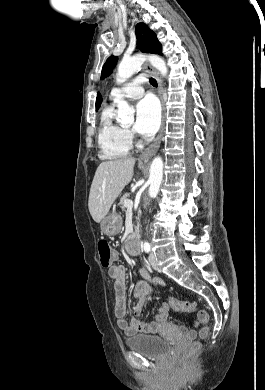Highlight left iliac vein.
<instances>
[{"label":"left iliac vein","mask_w":265,"mask_h":390,"mask_svg":"<svg viewBox=\"0 0 265 390\" xmlns=\"http://www.w3.org/2000/svg\"><path fill=\"white\" fill-rule=\"evenodd\" d=\"M149 263L153 269L158 268L157 263H156V259H155V255L153 253H150V255H149Z\"/></svg>","instance_id":"obj_1"}]
</instances>
